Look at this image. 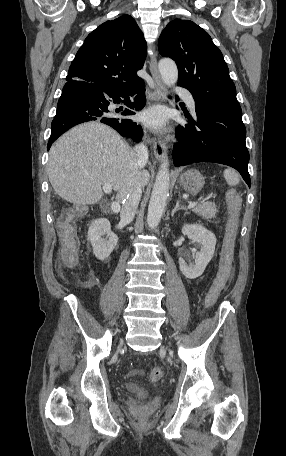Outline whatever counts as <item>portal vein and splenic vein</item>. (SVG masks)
<instances>
[{
	"label": "portal vein and splenic vein",
	"mask_w": 286,
	"mask_h": 456,
	"mask_svg": "<svg viewBox=\"0 0 286 456\" xmlns=\"http://www.w3.org/2000/svg\"><path fill=\"white\" fill-rule=\"evenodd\" d=\"M103 191L107 194L111 193L112 191V186L109 184V183H105L103 185ZM198 202H190L189 205H188V208H193L197 205ZM112 210L114 212H118L120 210V205L118 202H113L112 203V206H111Z\"/></svg>",
	"instance_id": "18ae733b"
}]
</instances>
